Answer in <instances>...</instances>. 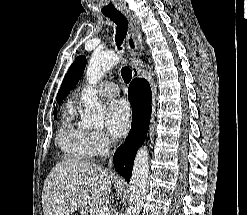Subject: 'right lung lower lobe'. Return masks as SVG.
Here are the masks:
<instances>
[{"label":"right lung lower lobe","mask_w":247,"mask_h":215,"mask_svg":"<svg viewBox=\"0 0 247 215\" xmlns=\"http://www.w3.org/2000/svg\"><path fill=\"white\" fill-rule=\"evenodd\" d=\"M128 99L132 107L131 130L113 157L114 167L127 182L130 181L138 148L147 136L151 117V88L145 79L135 78L129 85Z\"/></svg>","instance_id":"1"}]
</instances>
